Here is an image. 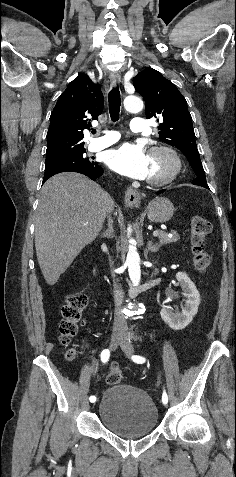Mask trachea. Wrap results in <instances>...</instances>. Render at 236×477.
<instances>
[{"label":"trachea","instance_id":"obj_1","mask_svg":"<svg viewBox=\"0 0 236 477\" xmlns=\"http://www.w3.org/2000/svg\"><path fill=\"white\" fill-rule=\"evenodd\" d=\"M109 113L111 120L116 122L119 120V112L121 106L120 92L117 87L113 88L108 95ZM92 133H96V130H92Z\"/></svg>","mask_w":236,"mask_h":477}]
</instances>
